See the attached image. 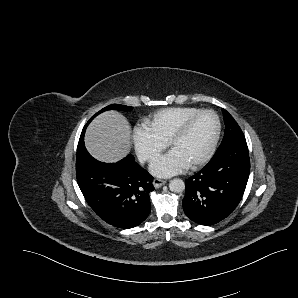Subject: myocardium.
I'll return each mask as SVG.
<instances>
[{
	"instance_id": "f54148a6",
	"label": "myocardium",
	"mask_w": 298,
	"mask_h": 298,
	"mask_svg": "<svg viewBox=\"0 0 298 298\" xmlns=\"http://www.w3.org/2000/svg\"><path fill=\"white\" fill-rule=\"evenodd\" d=\"M203 115H209L212 117L215 125V131L213 134V137L206 149V151L199 157L197 158L194 162H192L188 167L189 168H194L202 163H204L212 154L214 147L217 143V140L219 138L220 134V125H219V120L218 118L208 110H201L184 120L180 121L175 128L169 133V135L166 137V142H167V147L170 149L171 145L176 141L178 137L185 131V129L197 118L203 116Z\"/></svg>"
}]
</instances>
